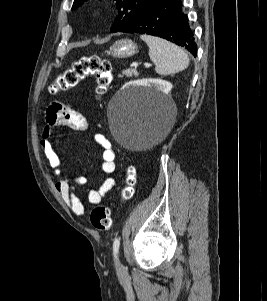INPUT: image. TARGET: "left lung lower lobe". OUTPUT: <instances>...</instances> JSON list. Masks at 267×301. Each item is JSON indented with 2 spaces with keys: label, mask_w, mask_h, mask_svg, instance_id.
<instances>
[{
  "label": "left lung lower lobe",
  "mask_w": 267,
  "mask_h": 301,
  "mask_svg": "<svg viewBox=\"0 0 267 301\" xmlns=\"http://www.w3.org/2000/svg\"><path fill=\"white\" fill-rule=\"evenodd\" d=\"M117 32L158 36L185 47L194 56L197 54V45L181 0H153Z\"/></svg>",
  "instance_id": "obj_1"
}]
</instances>
